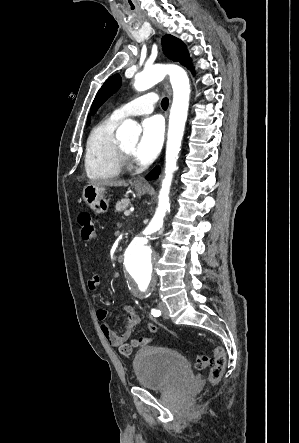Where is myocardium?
<instances>
[{
	"label": "myocardium",
	"mask_w": 299,
	"mask_h": 443,
	"mask_svg": "<svg viewBox=\"0 0 299 443\" xmlns=\"http://www.w3.org/2000/svg\"><path fill=\"white\" fill-rule=\"evenodd\" d=\"M118 154L122 168L131 169L137 165L134 156L124 148L123 144L119 143Z\"/></svg>",
	"instance_id": "myocardium-1"
}]
</instances>
